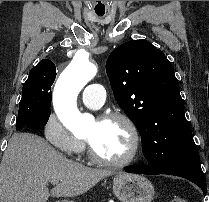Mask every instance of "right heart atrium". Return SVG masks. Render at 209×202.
<instances>
[{"label":"right heart atrium","mask_w":209,"mask_h":202,"mask_svg":"<svg viewBox=\"0 0 209 202\" xmlns=\"http://www.w3.org/2000/svg\"><path fill=\"white\" fill-rule=\"evenodd\" d=\"M47 141L67 156H74L84 147V140L74 136L55 116L51 115L45 125Z\"/></svg>","instance_id":"right-heart-atrium-1"}]
</instances>
